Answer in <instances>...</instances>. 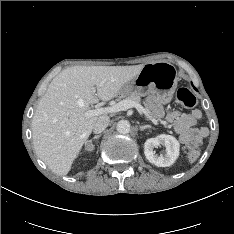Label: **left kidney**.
<instances>
[{
  "instance_id": "5707ae66",
  "label": "left kidney",
  "mask_w": 234,
  "mask_h": 234,
  "mask_svg": "<svg viewBox=\"0 0 234 234\" xmlns=\"http://www.w3.org/2000/svg\"><path fill=\"white\" fill-rule=\"evenodd\" d=\"M164 145L166 154L158 155L154 148ZM144 154L148 161L158 167L171 166L179 156V142L171 135L161 134L155 138L147 139L144 144Z\"/></svg>"
}]
</instances>
